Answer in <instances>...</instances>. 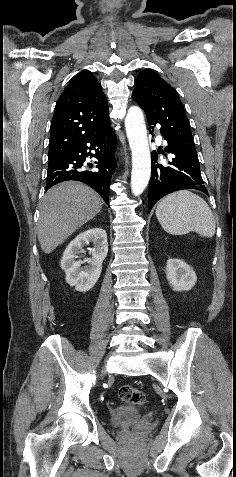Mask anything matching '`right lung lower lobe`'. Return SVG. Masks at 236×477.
I'll return each mask as SVG.
<instances>
[{
	"label": "right lung lower lobe",
	"instance_id": "1",
	"mask_svg": "<svg viewBox=\"0 0 236 477\" xmlns=\"http://www.w3.org/2000/svg\"><path fill=\"white\" fill-rule=\"evenodd\" d=\"M116 145L115 134L108 123L64 156L49 161L45 190L63 181H81L97 191L108 205L110 179L116 167L113 156ZM87 157L95 158V165L86 163Z\"/></svg>",
	"mask_w": 236,
	"mask_h": 477
}]
</instances>
